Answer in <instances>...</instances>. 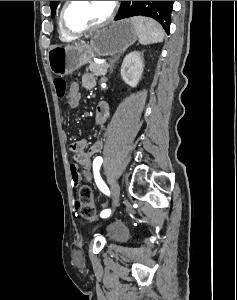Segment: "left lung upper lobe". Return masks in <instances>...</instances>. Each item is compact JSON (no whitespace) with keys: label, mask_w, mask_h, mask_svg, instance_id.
I'll return each mask as SVG.
<instances>
[{"label":"left lung upper lobe","mask_w":237,"mask_h":300,"mask_svg":"<svg viewBox=\"0 0 237 300\" xmlns=\"http://www.w3.org/2000/svg\"><path fill=\"white\" fill-rule=\"evenodd\" d=\"M59 1H50L52 17ZM172 5H165L164 1H122L120 12L116 20L143 15L157 20L169 33Z\"/></svg>","instance_id":"left-lung-upper-lobe-1"}]
</instances>
